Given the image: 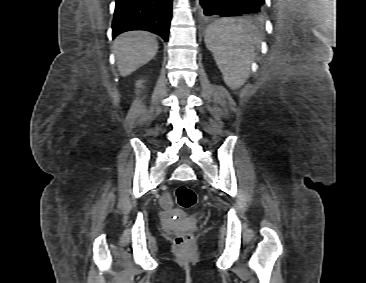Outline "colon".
<instances>
[{
    "label": "colon",
    "mask_w": 366,
    "mask_h": 283,
    "mask_svg": "<svg viewBox=\"0 0 366 283\" xmlns=\"http://www.w3.org/2000/svg\"><path fill=\"white\" fill-rule=\"evenodd\" d=\"M174 195L176 203L183 208H190L197 201L196 193L186 185L178 186L175 189ZM171 232L176 244L180 247L185 246L190 241L191 234L187 229L179 228L174 229Z\"/></svg>",
    "instance_id": "1"
}]
</instances>
